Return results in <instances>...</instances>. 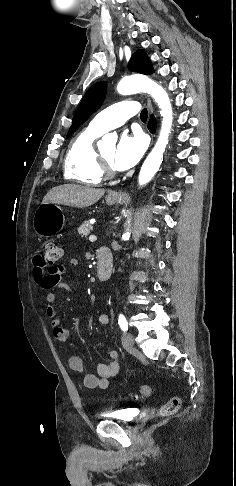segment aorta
<instances>
[{
    "instance_id": "obj_1",
    "label": "aorta",
    "mask_w": 236,
    "mask_h": 486,
    "mask_svg": "<svg viewBox=\"0 0 236 486\" xmlns=\"http://www.w3.org/2000/svg\"><path fill=\"white\" fill-rule=\"evenodd\" d=\"M117 91L122 95L146 92L153 97L160 108L162 126L155 146L141 167L138 183L142 186L154 177L163 161V154L168 144V137L173 120L170 99L167 92L160 85L145 76L134 75L123 78L117 85ZM109 138L110 136H105L103 140H108ZM129 237V232L123 234L124 239H129Z\"/></svg>"
}]
</instances>
